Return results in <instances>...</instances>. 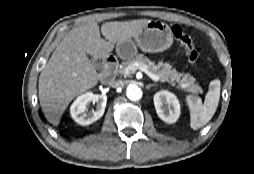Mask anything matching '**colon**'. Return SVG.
<instances>
[{
	"instance_id": "1",
	"label": "colon",
	"mask_w": 254,
	"mask_h": 174,
	"mask_svg": "<svg viewBox=\"0 0 254 174\" xmlns=\"http://www.w3.org/2000/svg\"><path fill=\"white\" fill-rule=\"evenodd\" d=\"M173 37L184 47L187 58L191 64H195L199 58V52L189 34L183 29L175 25L172 27Z\"/></svg>"
}]
</instances>
